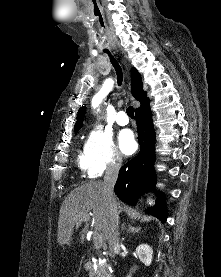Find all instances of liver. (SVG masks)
Here are the masks:
<instances>
[{
    "instance_id": "obj_1",
    "label": "liver",
    "mask_w": 221,
    "mask_h": 277,
    "mask_svg": "<svg viewBox=\"0 0 221 277\" xmlns=\"http://www.w3.org/2000/svg\"><path fill=\"white\" fill-rule=\"evenodd\" d=\"M114 201L116 204L115 198ZM91 211L95 231L101 232L108 240L109 209L103 193V183L90 181L72 190L61 205L57 234L59 245H71L77 221L89 216ZM87 230L88 224L80 233V243H83Z\"/></svg>"
}]
</instances>
